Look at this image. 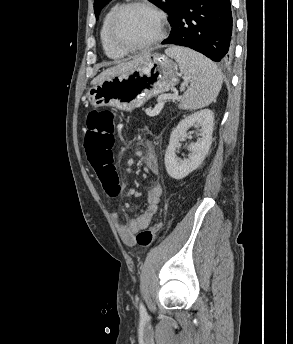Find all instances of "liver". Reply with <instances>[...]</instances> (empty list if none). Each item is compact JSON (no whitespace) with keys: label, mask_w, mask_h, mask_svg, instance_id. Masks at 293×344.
Wrapping results in <instances>:
<instances>
[{"label":"liver","mask_w":293,"mask_h":344,"mask_svg":"<svg viewBox=\"0 0 293 344\" xmlns=\"http://www.w3.org/2000/svg\"><path fill=\"white\" fill-rule=\"evenodd\" d=\"M149 55V53H144L142 55H139L135 57L132 60L129 61H124V62H119L117 65L109 67L105 70H103L97 77H95L92 81V85H96L110 77L120 75L123 73H126L128 71H131L138 67L144 59Z\"/></svg>","instance_id":"liver-1"}]
</instances>
